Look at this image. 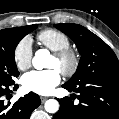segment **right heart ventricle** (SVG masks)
<instances>
[{
	"mask_svg": "<svg viewBox=\"0 0 119 119\" xmlns=\"http://www.w3.org/2000/svg\"><path fill=\"white\" fill-rule=\"evenodd\" d=\"M38 42L51 51L70 47L69 37L56 29H45L37 34Z\"/></svg>",
	"mask_w": 119,
	"mask_h": 119,
	"instance_id": "e07e8e85",
	"label": "right heart ventricle"
}]
</instances>
